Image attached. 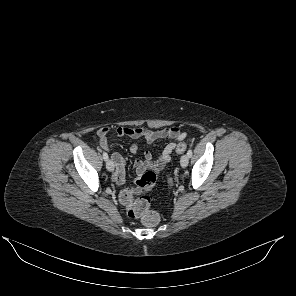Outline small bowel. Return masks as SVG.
<instances>
[{
    "label": "small bowel",
    "mask_w": 296,
    "mask_h": 296,
    "mask_svg": "<svg viewBox=\"0 0 296 296\" xmlns=\"http://www.w3.org/2000/svg\"><path fill=\"white\" fill-rule=\"evenodd\" d=\"M111 129L109 127L100 128L96 137L99 140L101 147L109 149V143L107 136ZM116 134L118 136L130 137L132 139L138 140L143 139L148 144H153L155 141L160 139H171L176 142L182 141L186 137V133L181 131L178 127L172 126L159 130H150L146 128H130V127H118L116 129ZM176 142L168 143L163 150L159 152L157 157L153 159V155L150 151H145L143 153L142 159H137L134 162V167L137 174L141 175L146 170H152L155 172L162 171L165 166L170 162L171 154L176 148ZM131 152L138 153V145L135 143L131 146ZM113 162L115 163L116 170L112 176V181L116 185H121L125 180V170L126 161L124 157L119 153H113L111 156ZM133 195L139 193L138 188H133L130 190Z\"/></svg>",
    "instance_id": "obj_1"
}]
</instances>
